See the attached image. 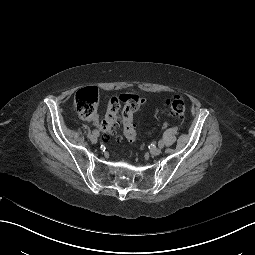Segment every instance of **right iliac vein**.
<instances>
[{
	"label": "right iliac vein",
	"instance_id": "63e3f726",
	"mask_svg": "<svg viewBox=\"0 0 255 255\" xmlns=\"http://www.w3.org/2000/svg\"><path fill=\"white\" fill-rule=\"evenodd\" d=\"M90 140H91L92 143H97V141H98L97 136L95 134H92L90 136Z\"/></svg>",
	"mask_w": 255,
	"mask_h": 255
}]
</instances>
